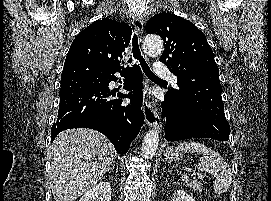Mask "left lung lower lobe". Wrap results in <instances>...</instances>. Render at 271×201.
Returning a JSON list of instances; mask_svg holds the SVG:
<instances>
[{
  "mask_svg": "<svg viewBox=\"0 0 271 201\" xmlns=\"http://www.w3.org/2000/svg\"><path fill=\"white\" fill-rule=\"evenodd\" d=\"M162 107L163 115L166 118L165 138L168 141L187 138H211L199 128L195 116L182 108L169 92L165 95Z\"/></svg>",
  "mask_w": 271,
  "mask_h": 201,
  "instance_id": "0a47b994",
  "label": "left lung lower lobe"
}]
</instances>
